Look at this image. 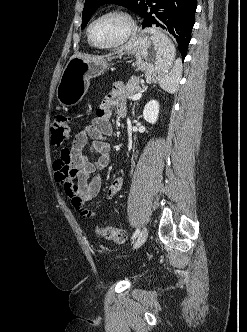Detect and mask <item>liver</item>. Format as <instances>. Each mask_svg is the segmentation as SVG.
Instances as JSON below:
<instances>
[{"instance_id":"1","label":"liver","mask_w":247,"mask_h":332,"mask_svg":"<svg viewBox=\"0 0 247 332\" xmlns=\"http://www.w3.org/2000/svg\"><path fill=\"white\" fill-rule=\"evenodd\" d=\"M74 57H78V58L84 59L86 61H102V60H105V57H103V56L96 57V56L80 54V53H77V54L73 55L71 58H74Z\"/></svg>"}]
</instances>
